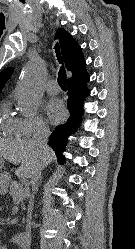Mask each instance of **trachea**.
Returning a JSON list of instances; mask_svg holds the SVG:
<instances>
[{"mask_svg":"<svg viewBox=\"0 0 135 249\" xmlns=\"http://www.w3.org/2000/svg\"><path fill=\"white\" fill-rule=\"evenodd\" d=\"M55 52L57 56V60L60 64H62V57L60 53L59 45L56 44L55 46ZM58 83L61 86V88L66 89V71L63 66L60 67L59 73H58Z\"/></svg>","mask_w":135,"mask_h":249,"instance_id":"3493384b","label":"trachea"}]
</instances>
